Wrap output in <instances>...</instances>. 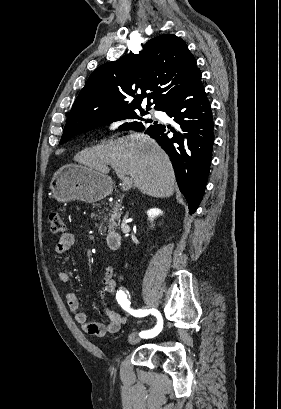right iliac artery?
I'll use <instances>...</instances> for the list:
<instances>
[{"instance_id":"1","label":"right iliac artery","mask_w":281,"mask_h":409,"mask_svg":"<svg viewBox=\"0 0 281 409\" xmlns=\"http://www.w3.org/2000/svg\"><path fill=\"white\" fill-rule=\"evenodd\" d=\"M117 301L120 304V306L126 310L127 312H129L130 314L136 316V317H143L148 315L149 313H151L152 315L157 317V325L155 326V328H153L152 330H147V331H142L140 332V336L142 338H151L156 336L157 334L160 333V331L162 330L163 327V321H162V317L159 313L158 310L156 309H144V310H133L130 308V295L128 294V291H124L123 289L118 290L117 295H116Z\"/></svg>"}]
</instances>
